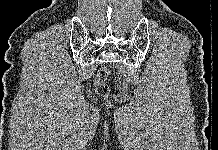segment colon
Instances as JSON below:
<instances>
[{"mask_svg":"<svg viewBox=\"0 0 218 150\" xmlns=\"http://www.w3.org/2000/svg\"><path fill=\"white\" fill-rule=\"evenodd\" d=\"M108 75H109V70L106 67L100 68L97 73L96 87H97V92L101 95H106L108 92V87L105 83Z\"/></svg>","mask_w":218,"mask_h":150,"instance_id":"obj_1","label":"colon"}]
</instances>
